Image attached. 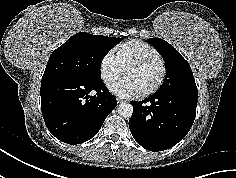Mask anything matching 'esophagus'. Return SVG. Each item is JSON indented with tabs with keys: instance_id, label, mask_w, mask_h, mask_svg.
Wrapping results in <instances>:
<instances>
[{
	"instance_id": "34e87169",
	"label": "esophagus",
	"mask_w": 236,
	"mask_h": 178,
	"mask_svg": "<svg viewBox=\"0 0 236 178\" xmlns=\"http://www.w3.org/2000/svg\"><path fill=\"white\" fill-rule=\"evenodd\" d=\"M117 102H118V103H121V102H123V100L118 97V98H117Z\"/></svg>"
}]
</instances>
